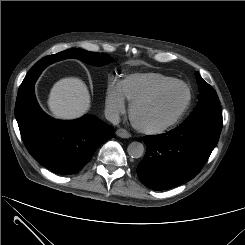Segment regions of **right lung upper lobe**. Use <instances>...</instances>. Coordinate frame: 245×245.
Wrapping results in <instances>:
<instances>
[{"label":"right lung upper lobe","instance_id":"right-lung-upper-lobe-1","mask_svg":"<svg viewBox=\"0 0 245 245\" xmlns=\"http://www.w3.org/2000/svg\"><path fill=\"white\" fill-rule=\"evenodd\" d=\"M56 60L54 59V57H50V56H46L44 58H42L40 61H38V68H36L35 66H33L30 71L27 73L25 79L23 80L24 82L27 83V89H29L30 87H32L37 79V77L40 75V73L42 72V70L48 66L49 64L55 62Z\"/></svg>","mask_w":245,"mask_h":245}]
</instances>
